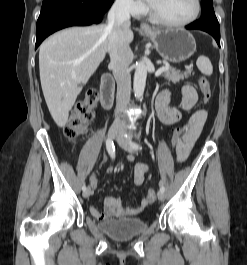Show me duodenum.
Wrapping results in <instances>:
<instances>
[{
  "mask_svg": "<svg viewBox=\"0 0 247 265\" xmlns=\"http://www.w3.org/2000/svg\"><path fill=\"white\" fill-rule=\"evenodd\" d=\"M114 80L106 74L101 80V103L104 109H109L113 102Z\"/></svg>",
  "mask_w": 247,
  "mask_h": 265,
  "instance_id": "410a0bca",
  "label": "duodenum"
}]
</instances>
